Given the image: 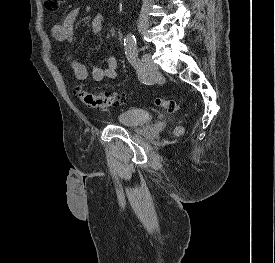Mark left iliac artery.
<instances>
[{
	"instance_id": "1",
	"label": "left iliac artery",
	"mask_w": 275,
	"mask_h": 263,
	"mask_svg": "<svg viewBox=\"0 0 275 263\" xmlns=\"http://www.w3.org/2000/svg\"><path fill=\"white\" fill-rule=\"evenodd\" d=\"M124 47H125V54L127 56L128 61L132 65H137L139 62L138 59V48L136 38L133 34H128L124 39Z\"/></svg>"
}]
</instances>
